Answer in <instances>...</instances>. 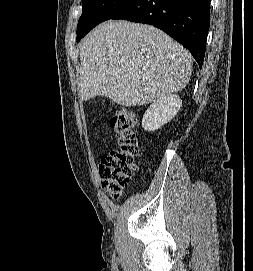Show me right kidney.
Wrapping results in <instances>:
<instances>
[{
	"instance_id": "obj_1",
	"label": "right kidney",
	"mask_w": 253,
	"mask_h": 271,
	"mask_svg": "<svg viewBox=\"0 0 253 271\" xmlns=\"http://www.w3.org/2000/svg\"><path fill=\"white\" fill-rule=\"evenodd\" d=\"M181 105L182 100L176 94L154 101L143 115L142 127L149 132L158 130L176 116Z\"/></svg>"
}]
</instances>
